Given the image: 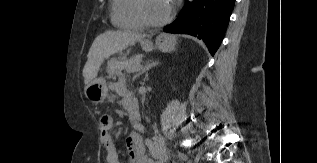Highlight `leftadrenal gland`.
Returning <instances> with one entry per match:
<instances>
[{
	"instance_id": "left-adrenal-gland-1",
	"label": "left adrenal gland",
	"mask_w": 317,
	"mask_h": 163,
	"mask_svg": "<svg viewBox=\"0 0 317 163\" xmlns=\"http://www.w3.org/2000/svg\"><path fill=\"white\" fill-rule=\"evenodd\" d=\"M159 62L158 61H154V60H148L144 63V66L143 68L141 69V71L136 74L134 77H133V80H135L136 78L140 77V75L146 73L153 67H155L156 65H158Z\"/></svg>"
}]
</instances>
